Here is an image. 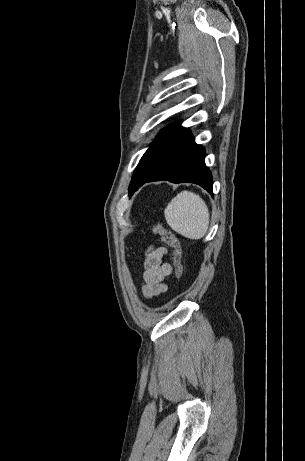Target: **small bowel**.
Here are the masks:
<instances>
[{
    "mask_svg": "<svg viewBox=\"0 0 305 461\" xmlns=\"http://www.w3.org/2000/svg\"><path fill=\"white\" fill-rule=\"evenodd\" d=\"M166 254L167 250L162 246H150L145 252L141 285V292L145 299L158 297L167 289L164 280L170 276L172 266L163 261Z\"/></svg>",
    "mask_w": 305,
    "mask_h": 461,
    "instance_id": "c3829d8e",
    "label": "small bowel"
}]
</instances>
